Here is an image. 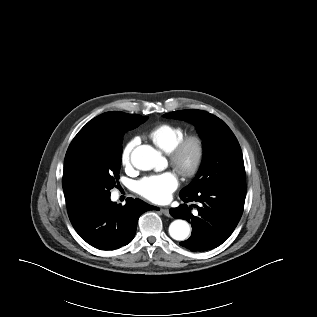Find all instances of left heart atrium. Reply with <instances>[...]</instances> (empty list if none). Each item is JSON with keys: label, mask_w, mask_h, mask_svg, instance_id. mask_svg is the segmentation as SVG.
<instances>
[{"label": "left heart atrium", "mask_w": 317, "mask_h": 317, "mask_svg": "<svg viewBox=\"0 0 317 317\" xmlns=\"http://www.w3.org/2000/svg\"><path fill=\"white\" fill-rule=\"evenodd\" d=\"M177 187L178 179L172 172L147 176L136 184L137 192L154 203L167 202Z\"/></svg>", "instance_id": "left-heart-atrium-1"}]
</instances>
